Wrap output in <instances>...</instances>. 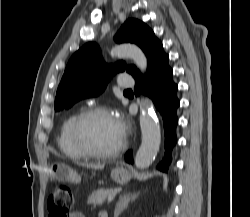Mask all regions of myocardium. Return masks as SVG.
<instances>
[{
	"label": "myocardium",
	"mask_w": 250,
	"mask_h": 217,
	"mask_svg": "<svg viewBox=\"0 0 250 217\" xmlns=\"http://www.w3.org/2000/svg\"><path fill=\"white\" fill-rule=\"evenodd\" d=\"M97 114L112 115L111 110L103 105H95L84 109L76 117L72 126V137L76 146L89 157L95 158H111L119 155L126 147V139L123 136L121 143L114 149L109 151H100L92 147L86 140L83 132L84 123L88 118Z\"/></svg>",
	"instance_id": "myocardium-1"
}]
</instances>
